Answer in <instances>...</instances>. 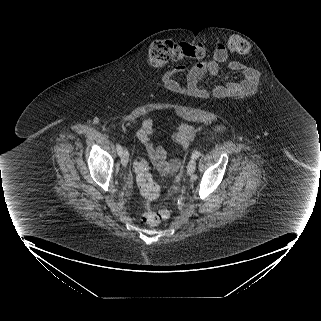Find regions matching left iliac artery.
Masks as SVG:
<instances>
[{
	"instance_id": "44dca946",
	"label": "left iliac artery",
	"mask_w": 321,
	"mask_h": 321,
	"mask_svg": "<svg viewBox=\"0 0 321 321\" xmlns=\"http://www.w3.org/2000/svg\"><path fill=\"white\" fill-rule=\"evenodd\" d=\"M200 155H201V152L195 151V152L192 154L191 159H197Z\"/></svg>"
}]
</instances>
